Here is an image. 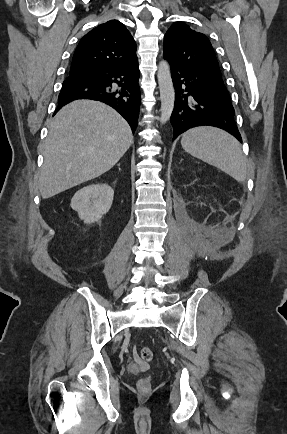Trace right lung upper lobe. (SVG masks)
I'll return each instance as SVG.
<instances>
[{
	"label": "right lung upper lobe",
	"mask_w": 287,
	"mask_h": 434,
	"mask_svg": "<svg viewBox=\"0 0 287 434\" xmlns=\"http://www.w3.org/2000/svg\"><path fill=\"white\" fill-rule=\"evenodd\" d=\"M138 62L136 43L125 25L110 20L92 29L79 42L69 77L104 68L126 67Z\"/></svg>",
	"instance_id": "obj_1"
}]
</instances>
